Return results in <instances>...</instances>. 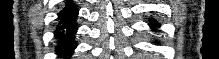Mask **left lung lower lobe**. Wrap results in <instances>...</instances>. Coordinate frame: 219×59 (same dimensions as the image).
Masks as SVG:
<instances>
[{"instance_id": "1", "label": "left lung lower lobe", "mask_w": 219, "mask_h": 59, "mask_svg": "<svg viewBox=\"0 0 219 59\" xmlns=\"http://www.w3.org/2000/svg\"><path fill=\"white\" fill-rule=\"evenodd\" d=\"M150 26H152L153 28H156V27L159 26V25L157 24V22H156L155 20H152V21L150 22Z\"/></svg>"}]
</instances>
